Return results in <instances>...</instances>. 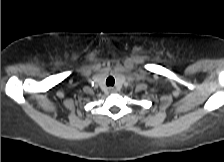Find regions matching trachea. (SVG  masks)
Instances as JSON below:
<instances>
[{
    "instance_id": "obj_1",
    "label": "trachea",
    "mask_w": 224,
    "mask_h": 162,
    "mask_svg": "<svg viewBox=\"0 0 224 162\" xmlns=\"http://www.w3.org/2000/svg\"><path fill=\"white\" fill-rule=\"evenodd\" d=\"M114 84H115V80L112 76H110L106 79V85L107 86H114Z\"/></svg>"
}]
</instances>
